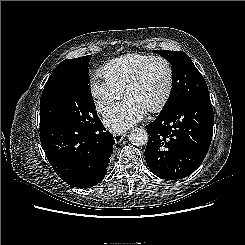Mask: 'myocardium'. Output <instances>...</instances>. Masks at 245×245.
<instances>
[{
	"instance_id": "myocardium-1",
	"label": "myocardium",
	"mask_w": 245,
	"mask_h": 245,
	"mask_svg": "<svg viewBox=\"0 0 245 245\" xmlns=\"http://www.w3.org/2000/svg\"><path fill=\"white\" fill-rule=\"evenodd\" d=\"M152 61H160L162 62L167 70V75H168V79H167V86H166V90L164 92L163 97L160 99V101L154 105L153 107H151L150 109H148V112L150 113H157L160 112L168 103L170 96L172 94V90H173V83H174V73H173V68L171 63L163 56L160 55H151L149 56L139 67L138 69L135 71V73L132 75V77L129 79V81L126 83V85L124 86L123 89V93L124 95L127 94V92L134 87L142 78L147 66L152 62Z\"/></svg>"
}]
</instances>
